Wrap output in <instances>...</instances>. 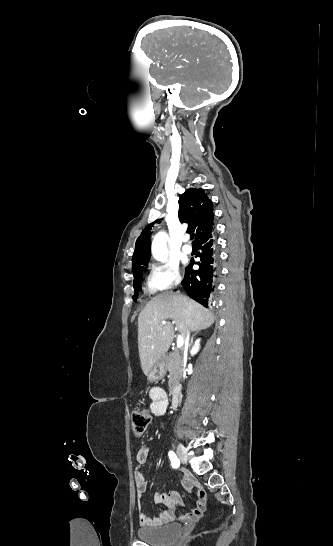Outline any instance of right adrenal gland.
Returning <instances> with one entry per match:
<instances>
[{"label":"right adrenal gland","instance_id":"obj_1","mask_svg":"<svg viewBox=\"0 0 333 546\" xmlns=\"http://www.w3.org/2000/svg\"><path fill=\"white\" fill-rule=\"evenodd\" d=\"M198 333H199V331H197L194 335H192L190 345L193 343V339H194V337H195Z\"/></svg>","mask_w":333,"mask_h":546}]
</instances>
